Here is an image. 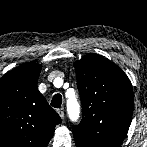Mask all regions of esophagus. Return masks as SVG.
I'll list each match as a JSON object with an SVG mask.
<instances>
[{
    "instance_id": "esophagus-1",
    "label": "esophagus",
    "mask_w": 147,
    "mask_h": 147,
    "mask_svg": "<svg viewBox=\"0 0 147 147\" xmlns=\"http://www.w3.org/2000/svg\"><path fill=\"white\" fill-rule=\"evenodd\" d=\"M59 116L63 119L64 118V111L62 109H57L56 110Z\"/></svg>"
}]
</instances>
